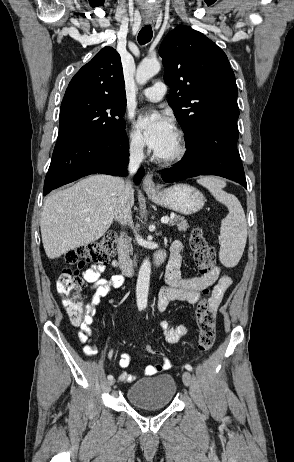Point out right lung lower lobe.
Listing matches in <instances>:
<instances>
[{"label": "right lung lower lobe", "mask_w": 294, "mask_h": 462, "mask_svg": "<svg viewBox=\"0 0 294 462\" xmlns=\"http://www.w3.org/2000/svg\"><path fill=\"white\" fill-rule=\"evenodd\" d=\"M129 141L125 130L111 133L76 135L57 141L47 172L43 195L92 173L125 176L129 162ZM144 170L139 169V184Z\"/></svg>", "instance_id": "1"}]
</instances>
